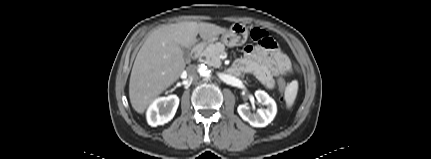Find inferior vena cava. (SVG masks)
<instances>
[{
  "label": "inferior vena cava",
  "mask_w": 431,
  "mask_h": 159,
  "mask_svg": "<svg viewBox=\"0 0 431 159\" xmlns=\"http://www.w3.org/2000/svg\"><path fill=\"white\" fill-rule=\"evenodd\" d=\"M187 74L190 79H198L197 67L195 65H190L187 68Z\"/></svg>",
  "instance_id": "602c4592"
}]
</instances>
